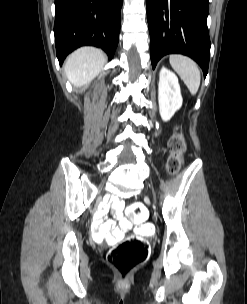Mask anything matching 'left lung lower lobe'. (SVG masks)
Wrapping results in <instances>:
<instances>
[{
	"label": "left lung lower lobe",
	"instance_id": "obj_1",
	"mask_svg": "<svg viewBox=\"0 0 247 304\" xmlns=\"http://www.w3.org/2000/svg\"><path fill=\"white\" fill-rule=\"evenodd\" d=\"M152 68L166 54L194 59L208 73L210 38L209 0H146Z\"/></svg>",
	"mask_w": 247,
	"mask_h": 304
}]
</instances>
